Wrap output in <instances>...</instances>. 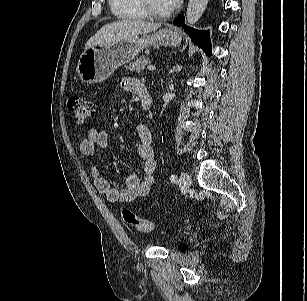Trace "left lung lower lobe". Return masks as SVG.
Returning <instances> with one entry per match:
<instances>
[{"label":"left lung lower lobe","instance_id":"left-lung-lower-lobe-1","mask_svg":"<svg viewBox=\"0 0 307 301\" xmlns=\"http://www.w3.org/2000/svg\"><path fill=\"white\" fill-rule=\"evenodd\" d=\"M173 24L177 26H183L185 31L190 35L193 42L202 48L207 55L211 56V43L209 38V33L207 31H198L189 26L185 25V19L183 15L177 17Z\"/></svg>","mask_w":307,"mask_h":301}]
</instances>
